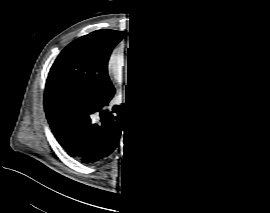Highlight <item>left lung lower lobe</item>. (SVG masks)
<instances>
[{
  "mask_svg": "<svg viewBox=\"0 0 270 213\" xmlns=\"http://www.w3.org/2000/svg\"><path fill=\"white\" fill-rule=\"evenodd\" d=\"M219 102L175 100L160 113L153 128L159 152L175 164L190 162L210 152L226 124Z\"/></svg>",
  "mask_w": 270,
  "mask_h": 213,
  "instance_id": "obj_1",
  "label": "left lung lower lobe"
}]
</instances>
